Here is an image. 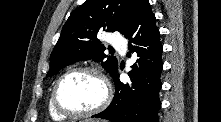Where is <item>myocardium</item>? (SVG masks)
<instances>
[{
    "instance_id": "obj_1",
    "label": "myocardium",
    "mask_w": 221,
    "mask_h": 122,
    "mask_svg": "<svg viewBox=\"0 0 221 122\" xmlns=\"http://www.w3.org/2000/svg\"><path fill=\"white\" fill-rule=\"evenodd\" d=\"M77 73H89L92 74L94 76H96L97 78L100 79V81L103 84L104 87V97L102 99V101L95 106L92 109L89 110H85V111H74V110H70L66 107H64L60 100H59V89L61 84L63 83V81L68 78L69 76L73 75V74H77ZM112 97V90H111V86L110 83L108 81V79L106 78V76L97 68L94 67H90V66H79V67H75L72 68L70 70H68L67 72H65L64 74H62L58 80L55 82L52 92H51V100H52V104L54 109L67 117H88V116H92L94 114H97L99 112H101L102 110H104Z\"/></svg>"
}]
</instances>
